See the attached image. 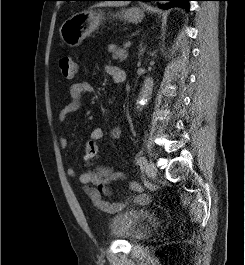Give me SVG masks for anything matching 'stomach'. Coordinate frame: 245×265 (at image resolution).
<instances>
[{
  "label": "stomach",
  "mask_w": 245,
  "mask_h": 265,
  "mask_svg": "<svg viewBox=\"0 0 245 265\" xmlns=\"http://www.w3.org/2000/svg\"><path fill=\"white\" fill-rule=\"evenodd\" d=\"M117 15L129 22L138 23L143 19L144 11L133 7L122 10ZM104 19V13L100 11L83 10L63 22L59 29L60 37L68 46L77 47L86 37L98 29Z\"/></svg>",
  "instance_id": "obj_1"
}]
</instances>
